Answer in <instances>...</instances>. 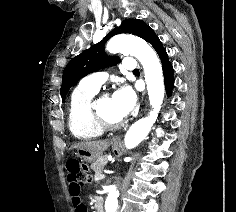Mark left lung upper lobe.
I'll use <instances>...</instances> for the list:
<instances>
[{
	"label": "left lung upper lobe",
	"mask_w": 236,
	"mask_h": 212,
	"mask_svg": "<svg viewBox=\"0 0 236 212\" xmlns=\"http://www.w3.org/2000/svg\"><path fill=\"white\" fill-rule=\"evenodd\" d=\"M152 29L144 21L138 19H127L121 25L112 30L98 44L93 45L89 49L74 57L66 66L63 72V81L61 85L62 101L65 100L69 89L81 78L89 73L95 72L107 65H115L118 57H108L104 52V44L114 35L120 33H129L137 35L146 40Z\"/></svg>",
	"instance_id": "left-lung-upper-lobe-1"
}]
</instances>
